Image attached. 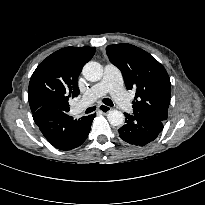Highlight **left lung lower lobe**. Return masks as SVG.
<instances>
[{"mask_svg":"<svg viewBox=\"0 0 205 205\" xmlns=\"http://www.w3.org/2000/svg\"><path fill=\"white\" fill-rule=\"evenodd\" d=\"M124 114L126 124L118 132L120 138L131 145L145 146L163 130V121L138 114Z\"/></svg>","mask_w":205,"mask_h":205,"instance_id":"obj_1","label":"left lung lower lobe"}]
</instances>
